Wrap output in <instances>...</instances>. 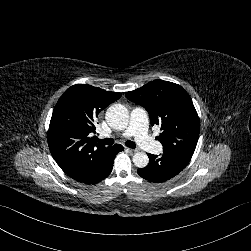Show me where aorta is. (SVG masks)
<instances>
[{
    "label": "aorta",
    "mask_w": 251,
    "mask_h": 251,
    "mask_svg": "<svg viewBox=\"0 0 251 251\" xmlns=\"http://www.w3.org/2000/svg\"><path fill=\"white\" fill-rule=\"evenodd\" d=\"M106 121L114 130H125L130 121L129 113L123 105H113L106 112ZM133 163L137 168H145L149 163L148 155L143 152H136L133 156Z\"/></svg>",
    "instance_id": "1"
}]
</instances>
